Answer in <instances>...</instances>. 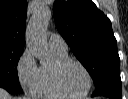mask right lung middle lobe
Returning a JSON list of instances; mask_svg holds the SVG:
<instances>
[{"label": "right lung middle lobe", "mask_w": 128, "mask_h": 99, "mask_svg": "<svg viewBox=\"0 0 128 99\" xmlns=\"http://www.w3.org/2000/svg\"><path fill=\"white\" fill-rule=\"evenodd\" d=\"M23 50L0 48V85L22 92L17 64Z\"/></svg>", "instance_id": "1"}]
</instances>
